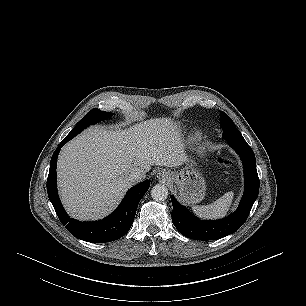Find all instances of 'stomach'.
I'll list each match as a JSON object with an SVG mask.
<instances>
[{
    "label": "stomach",
    "mask_w": 306,
    "mask_h": 306,
    "mask_svg": "<svg viewBox=\"0 0 306 306\" xmlns=\"http://www.w3.org/2000/svg\"><path fill=\"white\" fill-rule=\"evenodd\" d=\"M171 174L172 182L178 187L179 197L185 204L193 205L204 198L205 180L192 160L187 159L180 171Z\"/></svg>",
    "instance_id": "1"
}]
</instances>
